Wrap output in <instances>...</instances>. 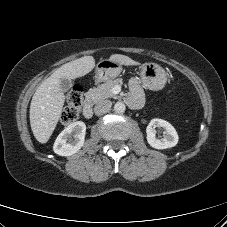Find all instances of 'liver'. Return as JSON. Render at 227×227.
I'll return each instance as SVG.
<instances>
[{"label":"liver","instance_id":"1","mask_svg":"<svg viewBox=\"0 0 227 227\" xmlns=\"http://www.w3.org/2000/svg\"><path fill=\"white\" fill-rule=\"evenodd\" d=\"M109 59L125 66L139 64L121 54H113ZM94 67L93 56L73 60L58 68L37 88L30 104V125L38 142L43 144L49 140L61 116L65 102V95L60 85L61 79L71 80L82 77Z\"/></svg>","mask_w":227,"mask_h":227}]
</instances>
